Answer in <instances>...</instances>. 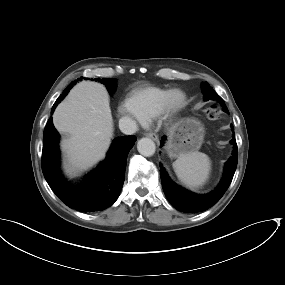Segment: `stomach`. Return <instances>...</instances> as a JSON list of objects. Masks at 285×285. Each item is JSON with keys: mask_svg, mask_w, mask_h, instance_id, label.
<instances>
[{"mask_svg": "<svg viewBox=\"0 0 285 285\" xmlns=\"http://www.w3.org/2000/svg\"><path fill=\"white\" fill-rule=\"evenodd\" d=\"M204 126L195 118H185L173 124L168 130L166 151L169 157L197 151L204 139Z\"/></svg>", "mask_w": 285, "mask_h": 285, "instance_id": "obj_1", "label": "stomach"}]
</instances>
